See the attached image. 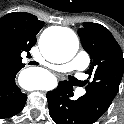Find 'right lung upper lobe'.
<instances>
[{"label":"right lung upper lobe","instance_id":"1","mask_svg":"<svg viewBox=\"0 0 124 124\" xmlns=\"http://www.w3.org/2000/svg\"><path fill=\"white\" fill-rule=\"evenodd\" d=\"M44 22L25 12H12L0 18V72L19 71L22 52L29 53Z\"/></svg>","mask_w":124,"mask_h":124}]
</instances>
